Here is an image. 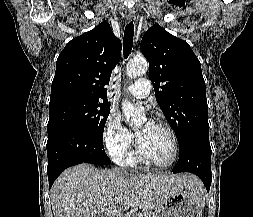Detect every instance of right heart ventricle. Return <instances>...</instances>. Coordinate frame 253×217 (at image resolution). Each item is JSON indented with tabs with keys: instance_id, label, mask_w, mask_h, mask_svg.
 <instances>
[{
	"instance_id": "obj_1",
	"label": "right heart ventricle",
	"mask_w": 253,
	"mask_h": 217,
	"mask_svg": "<svg viewBox=\"0 0 253 217\" xmlns=\"http://www.w3.org/2000/svg\"><path fill=\"white\" fill-rule=\"evenodd\" d=\"M125 165L135 166L138 164V159L136 154L129 153V155L126 157V159L123 161Z\"/></svg>"
}]
</instances>
